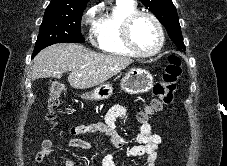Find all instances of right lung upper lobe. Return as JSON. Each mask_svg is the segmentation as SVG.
<instances>
[{"label": "right lung upper lobe", "instance_id": "cb5924a9", "mask_svg": "<svg viewBox=\"0 0 227 166\" xmlns=\"http://www.w3.org/2000/svg\"><path fill=\"white\" fill-rule=\"evenodd\" d=\"M89 0H51L46 11H78L85 8Z\"/></svg>", "mask_w": 227, "mask_h": 166}]
</instances>
